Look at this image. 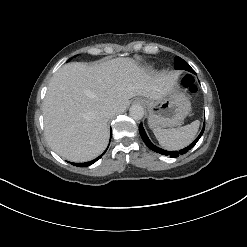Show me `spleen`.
Returning a JSON list of instances; mask_svg holds the SVG:
<instances>
[{
    "instance_id": "3e777b00",
    "label": "spleen",
    "mask_w": 247,
    "mask_h": 247,
    "mask_svg": "<svg viewBox=\"0 0 247 247\" xmlns=\"http://www.w3.org/2000/svg\"><path fill=\"white\" fill-rule=\"evenodd\" d=\"M199 120L175 129H154L153 133L159 144L168 150H179L188 146L196 137Z\"/></svg>"
}]
</instances>
